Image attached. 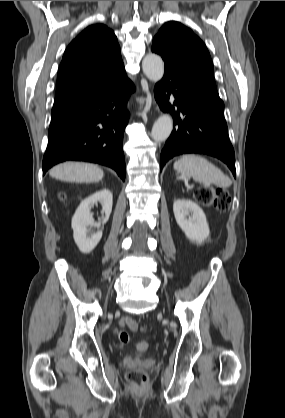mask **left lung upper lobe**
Segmentation results:
<instances>
[{
	"instance_id": "1",
	"label": "left lung upper lobe",
	"mask_w": 285,
	"mask_h": 418,
	"mask_svg": "<svg viewBox=\"0 0 285 418\" xmlns=\"http://www.w3.org/2000/svg\"><path fill=\"white\" fill-rule=\"evenodd\" d=\"M152 45L186 71L216 89L210 54L192 30L179 22L165 23L154 37Z\"/></svg>"
}]
</instances>
